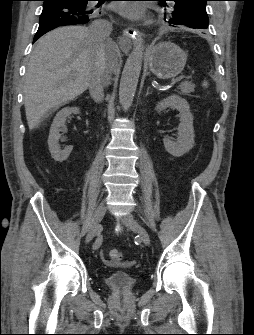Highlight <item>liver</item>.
<instances>
[{"instance_id": "6515ba94", "label": "liver", "mask_w": 254, "mask_h": 335, "mask_svg": "<svg viewBox=\"0 0 254 335\" xmlns=\"http://www.w3.org/2000/svg\"><path fill=\"white\" fill-rule=\"evenodd\" d=\"M98 57L104 60L110 75L117 70L120 53L116 43L111 39L102 44L93 42L87 27H60L39 39L24 83V106L30 130L50 111L86 91Z\"/></svg>"}]
</instances>
